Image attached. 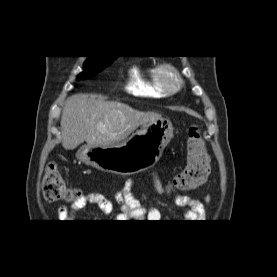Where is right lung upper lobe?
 Instances as JSON below:
<instances>
[{"label": "right lung upper lobe", "mask_w": 277, "mask_h": 277, "mask_svg": "<svg viewBox=\"0 0 277 277\" xmlns=\"http://www.w3.org/2000/svg\"><path fill=\"white\" fill-rule=\"evenodd\" d=\"M114 56H90L89 58L113 59Z\"/></svg>", "instance_id": "obj_1"}]
</instances>
